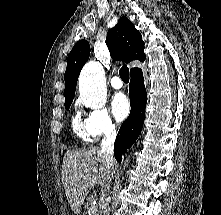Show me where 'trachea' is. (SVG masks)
<instances>
[{
  "instance_id": "trachea-1",
  "label": "trachea",
  "mask_w": 221,
  "mask_h": 215,
  "mask_svg": "<svg viewBox=\"0 0 221 215\" xmlns=\"http://www.w3.org/2000/svg\"><path fill=\"white\" fill-rule=\"evenodd\" d=\"M120 77L124 82H129V69L127 66L121 67L119 71Z\"/></svg>"
}]
</instances>
